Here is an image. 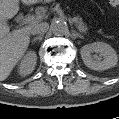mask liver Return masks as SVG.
I'll return each mask as SVG.
<instances>
[{
    "instance_id": "1",
    "label": "liver",
    "mask_w": 119,
    "mask_h": 119,
    "mask_svg": "<svg viewBox=\"0 0 119 119\" xmlns=\"http://www.w3.org/2000/svg\"><path fill=\"white\" fill-rule=\"evenodd\" d=\"M20 0H0V81L8 78L18 61L23 57L30 42V31L37 25L39 18L46 12L45 8L37 10V19L29 26L10 32L7 20L19 11ZM27 5L42 0H22Z\"/></svg>"
}]
</instances>
